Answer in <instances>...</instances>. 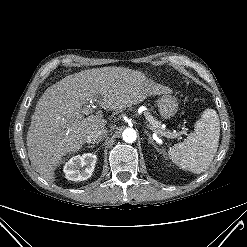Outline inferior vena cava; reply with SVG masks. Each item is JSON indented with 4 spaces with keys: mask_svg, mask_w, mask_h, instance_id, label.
<instances>
[{
    "mask_svg": "<svg viewBox=\"0 0 247 247\" xmlns=\"http://www.w3.org/2000/svg\"><path fill=\"white\" fill-rule=\"evenodd\" d=\"M106 133L107 131L104 128L95 130L87 136L86 142L90 144H97L105 138Z\"/></svg>",
    "mask_w": 247,
    "mask_h": 247,
    "instance_id": "1",
    "label": "inferior vena cava"
}]
</instances>
